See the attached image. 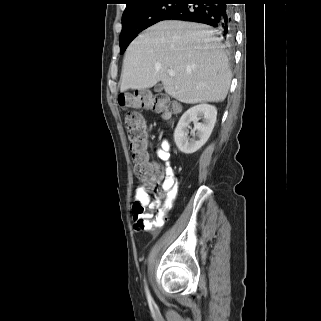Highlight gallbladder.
Returning <instances> with one entry per match:
<instances>
[{"instance_id": "1", "label": "gallbladder", "mask_w": 321, "mask_h": 321, "mask_svg": "<svg viewBox=\"0 0 321 321\" xmlns=\"http://www.w3.org/2000/svg\"><path fill=\"white\" fill-rule=\"evenodd\" d=\"M163 90V86L162 84H156L155 87H154V91L155 92H161Z\"/></svg>"}]
</instances>
